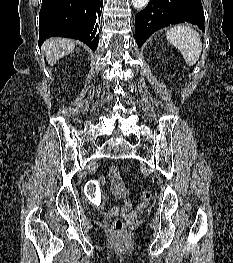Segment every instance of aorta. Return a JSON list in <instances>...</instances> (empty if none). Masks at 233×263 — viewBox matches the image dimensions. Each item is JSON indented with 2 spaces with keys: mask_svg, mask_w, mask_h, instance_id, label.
Returning a JSON list of instances; mask_svg holds the SVG:
<instances>
[{
  "mask_svg": "<svg viewBox=\"0 0 233 263\" xmlns=\"http://www.w3.org/2000/svg\"><path fill=\"white\" fill-rule=\"evenodd\" d=\"M135 9H143L149 2V0H131Z\"/></svg>",
  "mask_w": 233,
  "mask_h": 263,
  "instance_id": "obj_1",
  "label": "aorta"
}]
</instances>
